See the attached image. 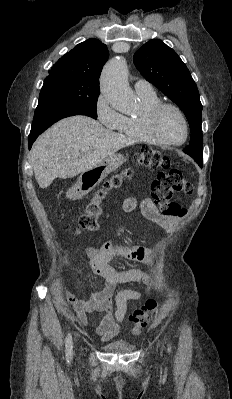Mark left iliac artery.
Masks as SVG:
<instances>
[{"mask_svg": "<svg viewBox=\"0 0 232 399\" xmlns=\"http://www.w3.org/2000/svg\"><path fill=\"white\" fill-rule=\"evenodd\" d=\"M171 351H172L171 345H168V353H171Z\"/></svg>", "mask_w": 232, "mask_h": 399, "instance_id": "obj_1", "label": "left iliac artery"}]
</instances>
